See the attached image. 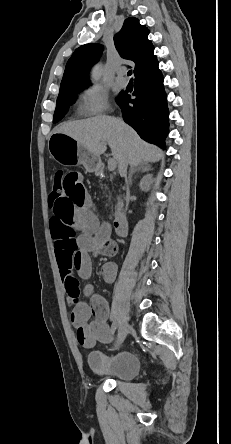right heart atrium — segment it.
I'll use <instances>...</instances> for the list:
<instances>
[{
    "mask_svg": "<svg viewBox=\"0 0 231 444\" xmlns=\"http://www.w3.org/2000/svg\"><path fill=\"white\" fill-rule=\"evenodd\" d=\"M108 109V95L103 89L97 86H89L82 92L79 99V112L82 115H100Z\"/></svg>",
    "mask_w": 231,
    "mask_h": 444,
    "instance_id": "right-heart-atrium-1",
    "label": "right heart atrium"
}]
</instances>
